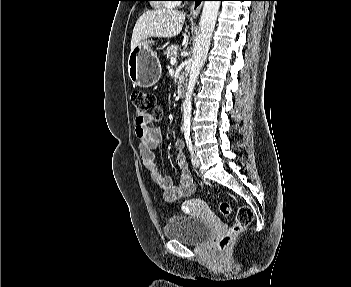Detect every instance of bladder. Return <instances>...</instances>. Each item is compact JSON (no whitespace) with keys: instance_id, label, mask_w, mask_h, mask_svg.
I'll use <instances>...</instances> for the list:
<instances>
[{"instance_id":"31cf9c89","label":"bladder","mask_w":351,"mask_h":287,"mask_svg":"<svg viewBox=\"0 0 351 287\" xmlns=\"http://www.w3.org/2000/svg\"><path fill=\"white\" fill-rule=\"evenodd\" d=\"M211 235V226L201 217H191L184 214L171 216L164 226V236L186 245H199Z\"/></svg>"}]
</instances>
